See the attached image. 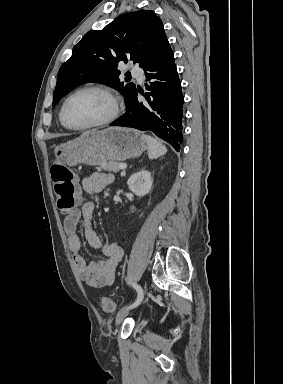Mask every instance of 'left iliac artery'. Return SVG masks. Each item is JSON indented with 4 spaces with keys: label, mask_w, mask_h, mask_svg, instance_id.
<instances>
[{
    "label": "left iliac artery",
    "mask_w": 283,
    "mask_h": 384,
    "mask_svg": "<svg viewBox=\"0 0 283 384\" xmlns=\"http://www.w3.org/2000/svg\"><path fill=\"white\" fill-rule=\"evenodd\" d=\"M136 290L137 292V299L135 300L134 303H132L129 308H135L136 306H138L141 301L143 300V297H144V293H143V289L140 285L136 284V283H132V282H129Z\"/></svg>",
    "instance_id": "left-iliac-artery-1"
}]
</instances>
